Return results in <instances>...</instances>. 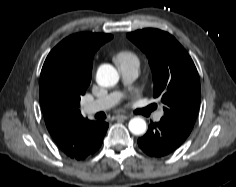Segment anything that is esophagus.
<instances>
[{
    "instance_id": "obj_1",
    "label": "esophagus",
    "mask_w": 236,
    "mask_h": 187,
    "mask_svg": "<svg viewBox=\"0 0 236 187\" xmlns=\"http://www.w3.org/2000/svg\"><path fill=\"white\" fill-rule=\"evenodd\" d=\"M128 118H129L128 115H116V116H115V119H116V120H119V119L126 120V119H128Z\"/></svg>"
}]
</instances>
